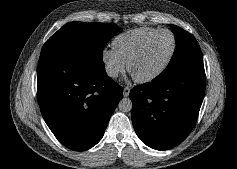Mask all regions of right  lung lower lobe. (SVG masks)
<instances>
[{"instance_id": "obj_1", "label": "right lung lower lobe", "mask_w": 237, "mask_h": 169, "mask_svg": "<svg viewBox=\"0 0 237 169\" xmlns=\"http://www.w3.org/2000/svg\"><path fill=\"white\" fill-rule=\"evenodd\" d=\"M102 59L40 56L37 97L45 122L64 146L83 151L103 137L122 98Z\"/></svg>"}]
</instances>
